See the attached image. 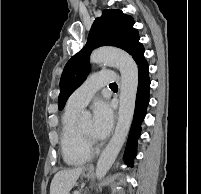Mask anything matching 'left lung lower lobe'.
I'll list each match as a JSON object with an SVG mask.
<instances>
[{
    "instance_id": "obj_1",
    "label": "left lung lower lobe",
    "mask_w": 201,
    "mask_h": 194,
    "mask_svg": "<svg viewBox=\"0 0 201 194\" xmlns=\"http://www.w3.org/2000/svg\"><path fill=\"white\" fill-rule=\"evenodd\" d=\"M131 56L138 65L139 83L137 89V100L135 105L134 118L124 155L125 162L128 166L133 165L132 158L136 155L137 138L140 135L141 122L144 120L146 115V109L149 103L150 89L148 63L144 58V47L141 43L137 44Z\"/></svg>"
}]
</instances>
